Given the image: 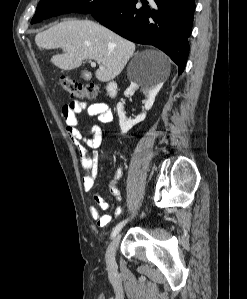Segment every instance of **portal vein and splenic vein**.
Segmentation results:
<instances>
[{
    "label": "portal vein and splenic vein",
    "instance_id": "18ae733b",
    "mask_svg": "<svg viewBox=\"0 0 247 299\" xmlns=\"http://www.w3.org/2000/svg\"><path fill=\"white\" fill-rule=\"evenodd\" d=\"M91 66H92V67H96V63H95V62H91ZM100 68H102V69H103V67H102V66H100Z\"/></svg>",
    "mask_w": 247,
    "mask_h": 299
}]
</instances>
